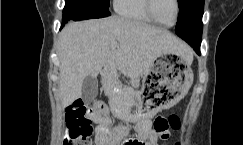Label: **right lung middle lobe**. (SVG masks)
Returning <instances> with one entry per match:
<instances>
[{
  "mask_svg": "<svg viewBox=\"0 0 243 145\" xmlns=\"http://www.w3.org/2000/svg\"><path fill=\"white\" fill-rule=\"evenodd\" d=\"M69 1L75 2V0H69ZM80 2L92 3V4L96 5L97 7L108 10L110 0H80Z\"/></svg>",
  "mask_w": 243,
  "mask_h": 145,
  "instance_id": "right-lung-middle-lobe-1",
  "label": "right lung middle lobe"
}]
</instances>
